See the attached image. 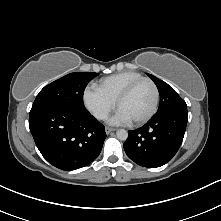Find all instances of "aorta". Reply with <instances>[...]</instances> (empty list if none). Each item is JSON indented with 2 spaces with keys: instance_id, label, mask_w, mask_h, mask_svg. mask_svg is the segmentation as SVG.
<instances>
[{
  "instance_id": "762f6f07",
  "label": "aorta",
  "mask_w": 221,
  "mask_h": 221,
  "mask_svg": "<svg viewBox=\"0 0 221 221\" xmlns=\"http://www.w3.org/2000/svg\"><path fill=\"white\" fill-rule=\"evenodd\" d=\"M116 136L119 140L125 141L128 138V132L124 129H119L116 132Z\"/></svg>"
}]
</instances>
